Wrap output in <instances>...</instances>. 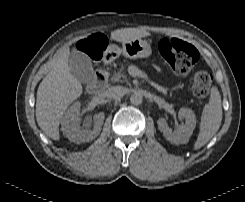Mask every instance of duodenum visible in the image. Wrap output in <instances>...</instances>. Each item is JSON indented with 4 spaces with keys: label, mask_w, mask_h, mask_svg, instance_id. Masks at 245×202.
Segmentation results:
<instances>
[{
    "label": "duodenum",
    "mask_w": 245,
    "mask_h": 202,
    "mask_svg": "<svg viewBox=\"0 0 245 202\" xmlns=\"http://www.w3.org/2000/svg\"><path fill=\"white\" fill-rule=\"evenodd\" d=\"M104 63H109V59L105 58ZM108 83V73L105 69H100L96 73L95 79L87 85V90L91 95H96L102 91V89Z\"/></svg>",
    "instance_id": "obj_1"
}]
</instances>
